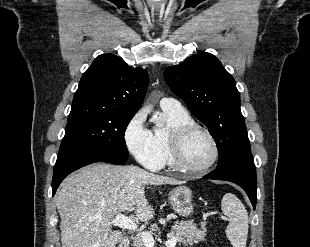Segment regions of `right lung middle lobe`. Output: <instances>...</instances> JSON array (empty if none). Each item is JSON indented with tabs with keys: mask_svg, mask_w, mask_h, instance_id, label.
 <instances>
[{
	"mask_svg": "<svg viewBox=\"0 0 310 247\" xmlns=\"http://www.w3.org/2000/svg\"><path fill=\"white\" fill-rule=\"evenodd\" d=\"M134 115L111 110H71L59 153L85 149L128 157L124 132Z\"/></svg>",
	"mask_w": 310,
	"mask_h": 247,
	"instance_id": "right-lung-middle-lobe-1",
	"label": "right lung middle lobe"
}]
</instances>
